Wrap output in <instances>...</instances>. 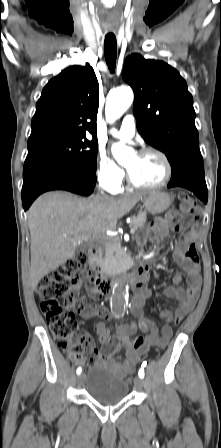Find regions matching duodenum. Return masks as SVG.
Masks as SVG:
<instances>
[{
  "label": "duodenum",
  "instance_id": "410a0bca",
  "mask_svg": "<svg viewBox=\"0 0 221 448\" xmlns=\"http://www.w3.org/2000/svg\"><path fill=\"white\" fill-rule=\"evenodd\" d=\"M90 267L94 274V280L92 286L100 296H107L111 293L112 288L116 283V275L113 273H103L99 264L97 252L92 250L90 252ZM143 268L132 267L129 276L128 283L134 288H138L143 285L144 275Z\"/></svg>",
  "mask_w": 221,
  "mask_h": 448
}]
</instances>
